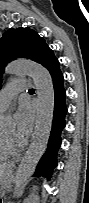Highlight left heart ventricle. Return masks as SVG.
Listing matches in <instances>:
<instances>
[{
	"mask_svg": "<svg viewBox=\"0 0 89 203\" xmlns=\"http://www.w3.org/2000/svg\"><path fill=\"white\" fill-rule=\"evenodd\" d=\"M3 136L5 137V139H7V140H9L11 142H14L15 144H20L21 143L16 137V133H15V129H14L13 125L7 127L4 130Z\"/></svg>",
	"mask_w": 89,
	"mask_h": 203,
	"instance_id": "b2bd125f",
	"label": "left heart ventricle"
}]
</instances>
